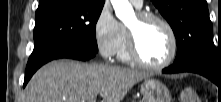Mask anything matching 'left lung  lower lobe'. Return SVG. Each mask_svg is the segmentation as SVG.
Wrapping results in <instances>:
<instances>
[{"label":"left lung lower lobe","mask_w":221,"mask_h":102,"mask_svg":"<svg viewBox=\"0 0 221 102\" xmlns=\"http://www.w3.org/2000/svg\"><path fill=\"white\" fill-rule=\"evenodd\" d=\"M164 73L194 72L205 76L215 84L221 85V72H218L210 64L200 60H186L174 63L163 69Z\"/></svg>","instance_id":"1"}]
</instances>
